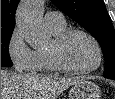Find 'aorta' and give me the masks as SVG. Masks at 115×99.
I'll return each mask as SVG.
<instances>
[{"label": "aorta", "mask_w": 115, "mask_h": 99, "mask_svg": "<svg viewBox=\"0 0 115 99\" xmlns=\"http://www.w3.org/2000/svg\"><path fill=\"white\" fill-rule=\"evenodd\" d=\"M42 8L43 0H26L20 4L17 11V28L31 46L43 45L47 39Z\"/></svg>", "instance_id": "aorta-1"}]
</instances>
